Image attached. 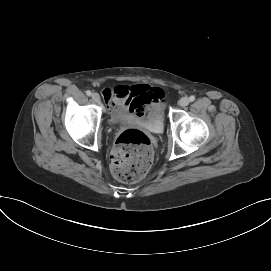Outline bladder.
Listing matches in <instances>:
<instances>
[{
	"instance_id": "obj_1",
	"label": "bladder",
	"mask_w": 271,
	"mask_h": 271,
	"mask_svg": "<svg viewBox=\"0 0 271 271\" xmlns=\"http://www.w3.org/2000/svg\"><path fill=\"white\" fill-rule=\"evenodd\" d=\"M145 126L152 132H161L164 128V114L162 107L153 110L145 120Z\"/></svg>"
}]
</instances>
